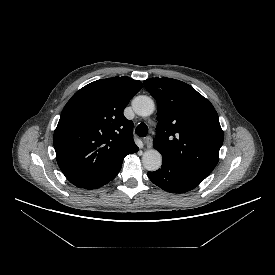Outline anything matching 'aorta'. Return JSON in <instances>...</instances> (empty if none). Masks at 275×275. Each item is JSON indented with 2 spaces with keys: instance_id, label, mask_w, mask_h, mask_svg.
<instances>
[{
  "instance_id": "obj_1",
  "label": "aorta",
  "mask_w": 275,
  "mask_h": 275,
  "mask_svg": "<svg viewBox=\"0 0 275 275\" xmlns=\"http://www.w3.org/2000/svg\"><path fill=\"white\" fill-rule=\"evenodd\" d=\"M132 107L137 115L145 117L154 112L155 104L150 97L141 95L133 100ZM142 163L148 171H156L162 165V156L155 149L147 150L142 156Z\"/></svg>"
}]
</instances>
